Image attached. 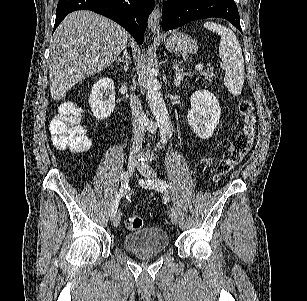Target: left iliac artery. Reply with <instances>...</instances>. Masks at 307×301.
<instances>
[{"label":"left iliac artery","instance_id":"obj_1","mask_svg":"<svg viewBox=\"0 0 307 301\" xmlns=\"http://www.w3.org/2000/svg\"><path fill=\"white\" fill-rule=\"evenodd\" d=\"M142 184H143L145 187H147V186H149V185H155L156 188H157L158 190H161V191H166V190L168 189V187H169V185L166 183V181L161 180V179H155V180H153V181L148 180V181H146V182H143V181H142Z\"/></svg>","mask_w":307,"mask_h":301}]
</instances>
